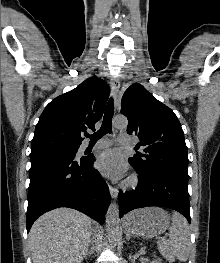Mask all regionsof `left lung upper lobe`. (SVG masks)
<instances>
[{"instance_id": "1", "label": "left lung upper lobe", "mask_w": 220, "mask_h": 263, "mask_svg": "<svg viewBox=\"0 0 220 263\" xmlns=\"http://www.w3.org/2000/svg\"><path fill=\"white\" fill-rule=\"evenodd\" d=\"M121 113L128 118L127 133L140 139L144 147L129 158L140 173L169 171L188 179V154L184 132L174 112L158 101L141 84L134 83L124 92Z\"/></svg>"}]
</instances>
